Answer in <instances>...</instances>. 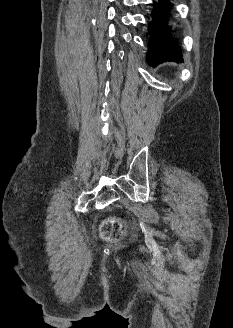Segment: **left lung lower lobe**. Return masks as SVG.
Returning <instances> with one entry per match:
<instances>
[{
	"label": "left lung lower lobe",
	"mask_w": 233,
	"mask_h": 328,
	"mask_svg": "<svg viewBox=\"0 0 233 328\" xmlns=\"http://www.w3.org/2000/svg\"><path fill=\"white\" fill-rule=\"evenodd\" d=\"M171 8L169 0H159L154 4L153 20L149 23V51L148 62L155 66L159 61H180L181 49L172 38V27L168 26V11Z\"/></svg>",
	"instance_id": "1"
}]
</instances>
